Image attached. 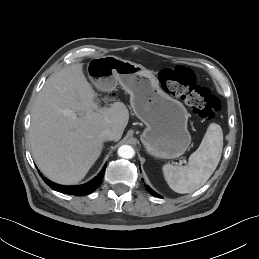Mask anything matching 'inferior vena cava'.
<instances>
[{
  "label": "inferior vena cava",
  "instance_id": "602c4592",
  "mask_svg": "<svg viewBox=\"0 0 259 259\" xmlns=\"http://www.w3.org/2000/svg\"><path fill=\"white\" fill-rule=\"evenodd\" d=\"M101 136L104 141H112L116 139L117 134L114 130L105 129L102 131Z\"/></svg>",
  "mask_w": 259,
  "mask_h": 259
}]
</instances>
